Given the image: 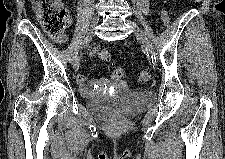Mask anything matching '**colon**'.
<instances>
[{"mask_svg": "<svg viewBox=\"0 0 225 159\" xmlns=\"http://www.w3.org/2000/svg\"><path fill=\"white\" fill-rule=\"evenodd\" d=\"M36 10L39 13L41 24L47 34L57 38L64 37V31L67 28L70 17L68 9L61 0H37ZM160 17L163 23L169 22V13L166 8L160 11ZM103 61L110 59V52L106 49H99L96 53ZM125 71L121 66H114L112 76L119 80L124 77ZM141 82H148L152 79L150 70H143L139 77Z\"/></svg>", "mask_w": 225, "mask_h": 159, "instance_id": "1", "label": "colon"}]
</instances>
